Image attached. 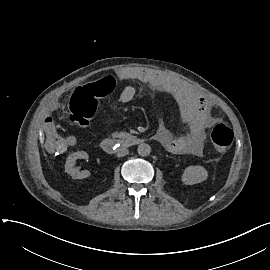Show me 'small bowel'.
<instances>
[{"label": "small bowel", "instance_id": "c3829d8e", "mask_svg": "<svg viewBox=\"0 0 270 270\" xmlns=\"http://www.w3.org/2000/svg\"><path fill=\"white\" fill-rule=\"evenodd\" d=\"M124 79L141 81L149 86L159 88L172 94L177 100L188 103L192 108V116L187 121L188 131L185 134H175L167 125L160 126L156 132L158 141L171 153L193 154L201 156L204 148V139L207 130L215 124L219 118L212 114L213 103L200 92L185 86L176 79L149 68L129 69L122 74ZM135 96L132 86H125L120 94L122 103H129ZM44 139L48 143V150L53 155H62L67 146L73 143V139H65L58 136L53 120L48 119L44 123Z\"/></svg>", "mask_w": 270, "mask_h": 270}]
</instances>
